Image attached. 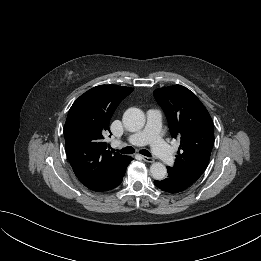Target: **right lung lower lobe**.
<instances>
[{"label":"right lung lower lobe","instance_id":"98d812e1","mask_svg":"<svg viewBox=\"0 0 261 261\" xmlns=\"http://www.w3.org/2000/svg\"><path fill=\"white\" fill-rule=\"evenodd\" d=\"M131 160H133V158L130 157L129 160L127 161V165L125 166L123 171H121L112 181L106 183L105 185H103L97 189H94V191L103 192V191H108V190L116 188L122 182L123 176L125 175L126 168H127L128 164L131 162Z\"/></svg>","mask_w":261,"mask_h":261}]
</instances>
